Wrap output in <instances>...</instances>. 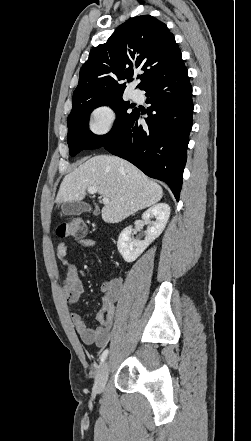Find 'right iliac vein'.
Returning a JSON list of instances; mask_svg holds the SVG:
<instances>
[{"label":"right iliac vein","mask_w":251,"mask_h":441,"mask_svg":"<svg viewBox=\"0 0 251 441\" xmlns=\"http://www.w3.org/2000/svg\"><path fill=\"white\" fill-rule=\"evenodd\" d=\"M109 371H110V362L108 360H106L103 365L101 366V368L99 369L96 379H95V383H94V391L97 394L102 393L105 384H106V380L107 377L109 375Z\"/></svg>","instance_id":"1"}]
</instances>
